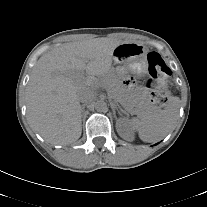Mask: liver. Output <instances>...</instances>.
I'll return each instance as SVG.
<instances>
[{"label":"liver","instance_id":"liver-1","mask_svg":"<svg viewBox=\"0 0 207 207\" xmlns=\"http://www.w3.org/2000/svg\"><path fill=\"white\" fill-rule=\"evenodd\" d=\"M121 42L95 38L66 43L43 54L27 85V118L45 141L66 145L81 136V89L94 90L112 69ZM87 76H80L82 72Z\"/></svg>","mask_w":207,"mask_h":207}]
</instances>
